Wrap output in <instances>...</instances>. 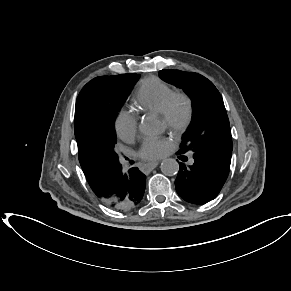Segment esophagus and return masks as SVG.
Listing matches in <instances>:
<instances>
[{
	"label": "esophagus",
	"instance_id": "obj_1",
	"mask_svg": "<svg viewBox=\"0 0 291 291\" xmlns=\"http://www.w3.org/2000/svg\"><path fill=\"white\" fill-rule=\"evenodd\" d=\"M159 163H160V162H158V161H157V162H150V163L147 164L146 167H147L148 169L152 170V169H154L155 167H157V166L159 165Z\"/></svg>",
	"mask_w": 291,
	"mask_h": 291
}]
</instances>
